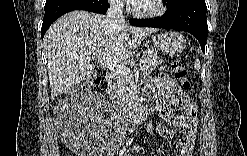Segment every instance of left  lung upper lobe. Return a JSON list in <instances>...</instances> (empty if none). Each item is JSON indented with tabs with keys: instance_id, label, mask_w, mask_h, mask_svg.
I'll list each match as a JSON object with an SVG mask.
<instances>
[{
	"instance_id": "5c2ea615",
	"label": "left lung upper lobe",
	"mask_w": 247,
	"mask_h": 156,
	"mask_svg": "<svg viewBox=\"0 0 247 156\" xmlns=\"http://www.w3.org/2000/svg\"><path fill=\"white\" fill-rule=\"evenodd\" d=\"M178 0H167L166 5L167 7L174 5Z\"/></svg>"
}]
</instances>
